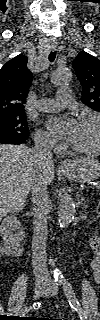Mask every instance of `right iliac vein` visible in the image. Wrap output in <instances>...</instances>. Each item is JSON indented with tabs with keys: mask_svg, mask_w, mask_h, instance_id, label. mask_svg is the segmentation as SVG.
I'll use <instances>...</instances> for the list:
<instances>
[{
	"mask_svg": "<svg viewBox=\"0 0 100 320\" xmlns=\"http://www.w3.org/2000/svg\"><path fill=\"white\" fill-rule=\"evenodd\" d=\"M46 289H47V285H45L43 283L36 284L35 288H34V296H33V298L35 300L39 299L44 294Z\"/></svg>",
	"mask_w": 100,
	"mask_h": 320,
	"instance_id": "right-iliac-vein-1",
	"label": "right iliac vein"
}]
</instances>
